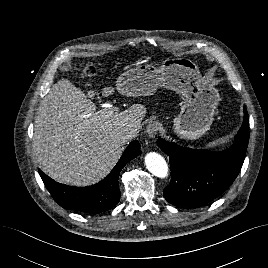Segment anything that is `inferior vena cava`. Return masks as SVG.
Wrapping results in <instances>:
<instances>
[{
	"instance_id": "obj_1",
	"label": "inferior vena cava",
	"mask_w": 268,
	"mask_h": 268,
	"mask_svg": "<svg viewBox=\"0 0 268 268\" xmlns=\"http://www.w3.org/2000/svg\"><path fill=\"white\" fill-rule=\"evenodd\" d=\"M139 131L137 129H131L126 132L113 131L111 133V138L116 141L130 140L134 138Z\"/></svg>"
}]
</instances>
